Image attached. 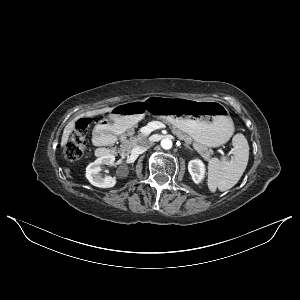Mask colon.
I'll return each instance as SVG.
<instances>
[{
	"label": "colon",
	"mask_w": 300,
	"mask_h": 300,
	"mask_svg": "<svg viewBox=\"0 0 300 300\" xmlns=\"http://www.w3.org/2000/svg\"><path fill=\"white\" fill-rule=\"evenodd\" d=\"M89 128V120L87 118L80 119L68 140L65 148L66 157L69 160L80 159L86 151L87 133Z\"/></svg>",
	"instance_id": "1"
}]
</instances>
